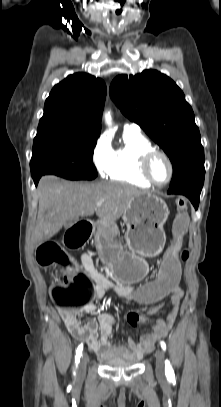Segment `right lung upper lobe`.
I'll return each instance as SVG.
<instances>
[{
    "label": "right lung upper lobe",
    "mask_w": 221,
    "mask_h": 407,
    "mask_svg": "<svg viewBox=\"0 0 221 407\" xmlns=\"http://www.w3.org/2000/svg\"><path fill=\"white\" fill-rule=\"evenodd\" d=\"M105 96L101 79L86 73L69 75L46 99L37 132L61 131L98 138Z\"/></svg>",
    "instance_id": "cb5924a9"
}]
</instances>
